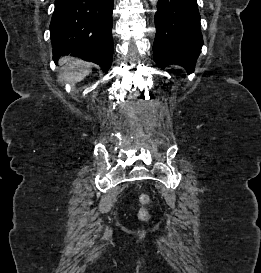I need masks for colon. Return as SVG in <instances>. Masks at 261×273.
Listing matches in <instances>:
<instances>
[{"mask_svg":"<svg viewBox=\"0 0 261 273\" xmlns=\"http://www.w3.org/2000/svg\"><path fill=\"white\" fill-rule=\"evenodd\" d=\"M140 209L138 211V216L141 219H147L149 217V212L147 206L151 202V197L148 194H142L139 197Z\"/></svg>","mask_w":261,"mask_h":273,"instance_id":"colon-1","label":"colon"}]
</instances>
